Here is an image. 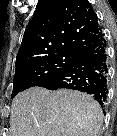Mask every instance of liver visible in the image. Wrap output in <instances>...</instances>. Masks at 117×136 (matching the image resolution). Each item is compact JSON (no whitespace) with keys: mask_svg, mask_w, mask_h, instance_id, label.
<instances>
[{"mask_svg":"<svg viewBox=\"0 0 117 136\" xmlns=\"http://www.w3.org/2000/svg\"><path fill=\"white\" fill-rule=\"evenodd\" d=\"M102 122L99 103L79 91L32 87L11 105L12 136H97Z\"/></svg>","mask_w":117,"mask_h":136,"instance_id":"6515ba94","label":"liver"}]
</instances>
